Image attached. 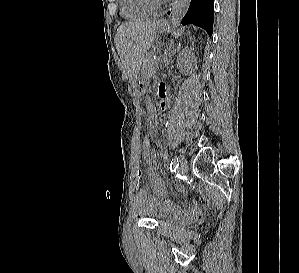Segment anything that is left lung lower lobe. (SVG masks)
<instances>
[{
	"instance_id": "1",
	"label": "left lung lower lobe",
	"mask_w": 299,
	"mask_h": 273,
	"mask_svg": "<svg viewBox=\"0 0 299 273\" xmlns=\"http://www.w3.org/2000/svg\"><path fill=\"white\" fill-rule=\"evenodd\" d=\"M213 2L214 0H191L189 9L182 20L183 25L200 26L211 36L214 20Z\"/></svg>"
}]
</instances>
